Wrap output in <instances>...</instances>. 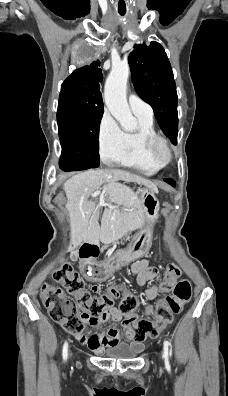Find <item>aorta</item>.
<instances>
[{"mask_svg":"<svg viewBox=\"0 0 228 396\" xmlns=\"http://www.w3.org/2000/svg\"><path fill=\"white\" fill-rule=\"evenodd\" d=\"M129 73L128 64L113 65L104 89L105 104L124 131H133L137 126L136 119L132 115L126 99Z\"/></svg>","mask_w":228,"mask_h":396,"instance_id":"aorta-1","label":"aorta"}]
</instances>
